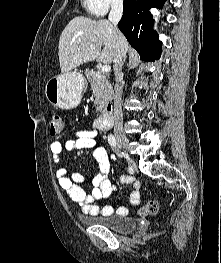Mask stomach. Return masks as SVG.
<instances>
[{"instance_id":"1","label":"stomach","mask_w":221,"mask_h":263,"mask_svg":"<svg viewBox=\"0 0 221 263\" xmlns=\"http://www.w3.org/2000/svg\"><path fill=\"white\" fill-rule=\"evenodd\" d=\"M86 88L84 76L77 71L62 73L50 78L45 86L48 101L63 110L76 108Z\"/></svg>"}]
</instances>
